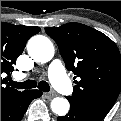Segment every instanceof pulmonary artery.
Returning <instances> with one entry per match:
<instances>
[{
  "instance_id": "pulmonary-artery-1",
  "label": "pulmonary artery",
  "mask_w": 121,
  "mask_h": 121,
  "mask_svg": "<svg viewBox=\"0 0 121 121\" xmlns=\"http://www.w3.org/2000/svg\"><path fill=\"white\" fill-rule=\"evenodd\" d=\"M49 78L52 83L65 94H71L72 87L65 76V70L60 60H54L48 70Z\"/></svg>"
}]
</instances>
